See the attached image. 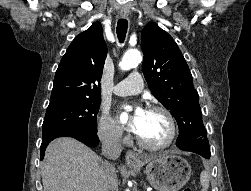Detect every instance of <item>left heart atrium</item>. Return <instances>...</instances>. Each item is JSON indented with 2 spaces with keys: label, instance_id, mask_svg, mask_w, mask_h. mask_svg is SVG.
<instances>
[{
  "label": "left heart atrium",
  "instance_id": "1",
  "mask_svg": "<svg viewBox=\"0 0 251 191\" xmlns=\"http://www.w3.org/2000/svg\"><path fill=\"white\" fill-rule=\"evenodd\" d=\"M122 110H130V117L127 123V128L130 131L138 134L142 128L143 122L148 111L140 105L134 107L123 105Z\"/></svg>",
  "mask_w": 251,
  "mask_h": 191
}]
</instances>
